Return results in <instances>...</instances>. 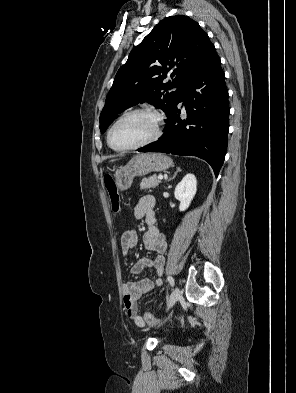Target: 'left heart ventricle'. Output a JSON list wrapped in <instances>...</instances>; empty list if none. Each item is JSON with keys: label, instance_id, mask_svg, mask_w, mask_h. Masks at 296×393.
I'll list each match as a JSON object with an SVG mask.
<instances>
[{"label": "left heart ventricle", "instance_id": "obj_1", "mask_svg": "<svg viewBox=\"0 0 296 393\" xmlns=\"http://www.w3.org/2000/svg\"><path fill=\"white\" fill-rule=\"evenodd\" d=\"M155 131V119L148 114H134L114 128L112 142L116 147H128L150 138Z\"/></svg>", "mask_w": 296, "mask_h": 393}]
</instances>
